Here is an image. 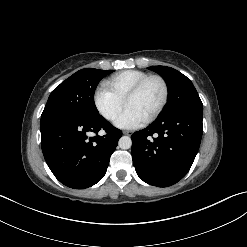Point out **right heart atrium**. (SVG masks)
Masks as SVG:
<instances>
[{"mask_svg": "<svg viewBox=\"0 0 247 247\" xmlns=\"http://www.w3.org/2000/svg\"><path fill=\"white\" fill-rule=\"evenodd\" d=\"M93 101L99 114L108 121L115 120L124 105V100L104 85L96 89Z\"/></svg>", "mask_w": 247, "mask_h": 247, "instance_id": "obj_1", "label": "right heart atrium"}]
</instances>
